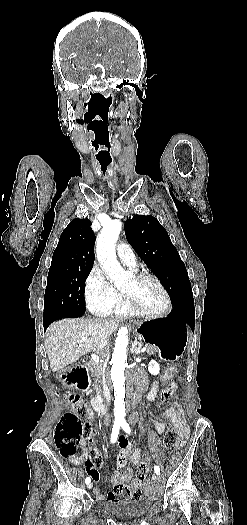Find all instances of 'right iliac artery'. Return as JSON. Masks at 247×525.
Returning a JSON list of instances; mask_svg holds the SVG:
<instances>
[{
	"mask_svg": "<svg viewBox=\"0 0 247 525\" xmlns=\"http://www.w3.org/2000/svg\"><path fill=\"white\" fill-rule=\"evenodd\" d=\"M119 429H120V423L114 424V426L112 428V434H111V442L112 443L116 442V440L118 438V434H119ZM85 482H86V484H89L91 482L90 477H87L85 479Z\"/></svg>",
	"mask_w": 247,
	"mask_h": 525,
	"instance_id": "right-iliac-artery-1",
	"label": "right iliac artery"
}]
</instances>
